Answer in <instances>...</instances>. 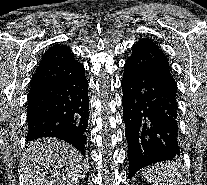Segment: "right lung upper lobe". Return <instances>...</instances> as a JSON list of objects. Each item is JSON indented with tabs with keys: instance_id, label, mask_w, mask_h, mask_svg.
Masks as SVG:
<instances>
[{
	"instance_id": "1",
	"label": "right lung upper lobe",
	"mask_w": 207,
	"mask_h": 185,
	"mask_svg": "<svg viewBox=\"0 0 207 185\" xmlns=\"http://www.w3.org/2000/svg\"><path fill=\"white\" fill-rule=\"evenodd\" d=\"M84 71L65 45L50 47L43 55L31 82L29 93L49 88L61 80L73 78Z\"/></svg>"
}]
</instances>
